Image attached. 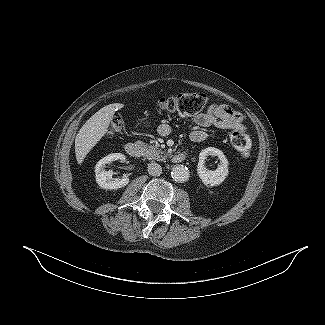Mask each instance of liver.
<instances>
[{
	"label": "liver",
	"instance_id": "obj_1",
	"mask_svg": "<svg viewBox=\"0 0 325 325\" xmlns=\"http://www.w3.org/2000/svg\"><path fill=\"white\" fill-rule=\"evenodd\" d=\"M123 107L122 103L104 106L81 127L75 138V154L78 164H82L86 155L105 136L115 112Z\"/></svg>",
	"mask_w": 325,
	"mask_h": 325
}]
</instances>
